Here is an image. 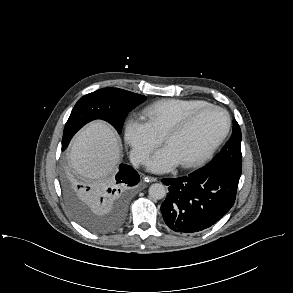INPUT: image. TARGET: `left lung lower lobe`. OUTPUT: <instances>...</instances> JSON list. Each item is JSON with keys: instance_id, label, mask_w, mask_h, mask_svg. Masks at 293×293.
<instances>
[{"instance_id": "0a47b994", "label": "left lung lower lobe", "mask_w": 293, "mask_h": 293, "mask_svg": "<svg viewBox=\"0 0 293 293\" xmlns=\"http://www.w3.org/2000/svg\"><path fill=\"white\" fill-rule=\"evenodd\" d=\"M240 176L223 168L204 166L188 176L165 178L169 193L161 212L169 228L181 234L202 231L233 206Z\"/></svg>"}]
</instances>
